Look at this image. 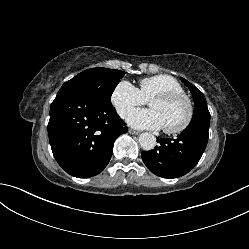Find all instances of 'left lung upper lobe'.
I'll return each instance as SVG.
<instances>
[{"label": "left lung upper lobe", "instance_id": "1", "mask_svg": "<svg viewBox=\"0 0 249 249\" xmlns=\"http://www.w3.org/2000/svg\"><path fill=\"white\" fill-rule=\"evenodd\" d=\"M180 79L189 88L194 99V113H193L192 120L200 118V117L210 118V113L207 107V102H206V99L203 93L199 91V89H197L190 82H188L186 79L182 77Z\"/></svg>", "mask_w": 249, "mask_h": 249}]
</instances>
